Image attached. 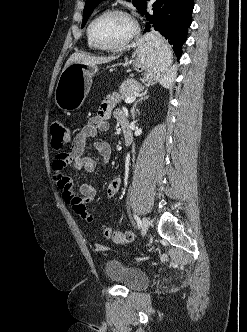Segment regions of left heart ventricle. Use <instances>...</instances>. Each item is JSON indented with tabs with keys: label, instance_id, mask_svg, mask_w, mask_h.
<instances>
[{
	"label": "left heart ventricle",
	"instance_id": "1",
	"mask_svg": "<svg viewBox=\"0 0 247 332\" xmlns=\"http://www.w3.org/2000/svg\"><path fill=\"white\" fill-rule=\"evenodd\" d=\"M131 22L122 15H108L100 19L94 26L95 39L104 45L121 42L131 31Z\"/></svg>",
	"mask_w": 247,
	"mask_h": 332
}]
</instances>
